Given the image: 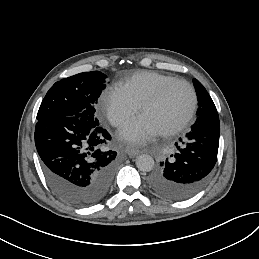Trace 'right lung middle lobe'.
Instances as JSON below:
<instances>
[{"mask_svg":"<svg viewBox=\"0 0 259 259\" xmlns=\"http://www.w3.org/2000/svg\"><path fill=\"white\" fill-rule=\"evenodd\" d=\"M105 78L106 75L100 71H91L56 82L44 97L37 120L52 116H74L98 124L94 104L105 88Z\"/></svg>","mask_w":259,"mask_h":259,"instance_id":"obj_1","label":"right lung middle lobe"}]
</instances>
